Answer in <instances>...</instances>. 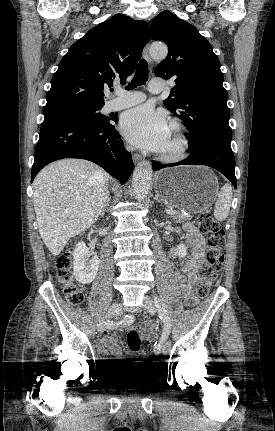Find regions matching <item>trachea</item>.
<instances>
[{"mask_svg":"<svg viewBox=\"0 0 275 431\" xmlns=\"http://www.w3.org/2000/svg\"><path fill=\"white\" fill-rule=\"evenodd\" d=\"M148 79V64L142 59L137 66L136 73L132 81L126 86L127 90L134 89L139 85H145Z\"/></svg>","mask_w":275,"mask_h":431,"instance_id":"1","label":"trachea"}]
</instances>
